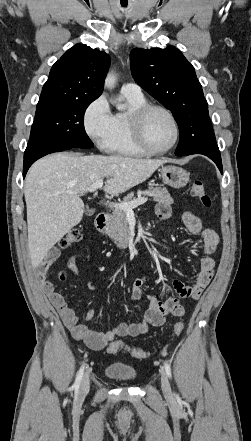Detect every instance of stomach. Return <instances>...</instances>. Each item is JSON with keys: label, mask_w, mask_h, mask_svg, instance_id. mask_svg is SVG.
Here are the masks:
<instances>
[{"label": "stomach", "mask_w": 251, "mask_h": 441, "mask_svg": "<svg viewBox=\"0 0 251 441\" xmlns=\"http://www.w3.org/2000/svg\"><path fill=\"white\" fill-rule=\"evenodd\" d=\"M160 174L165 184L179 189L186 186L189 173L181 167L168 165L160 169Z\"/></svg>", "instance_id": "0dacf381"}]
</instances>
